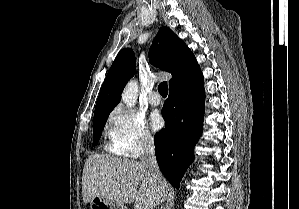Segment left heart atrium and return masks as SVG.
I'll return each mask as SVG.
<instances>
[{
    "label": "left heart atrium",
    "instance_id": "obj_1",
    "mask_svg": "<svg viewBox=\"0 0 299 209\" xmlns=\"http://www.w3.org/2000/svg\"><path fill=\"white\" fill-rule=\"evenodd\" d=\"M164 121L159 113H153L150 116V125L153 131H158L163 127Z\"/></svg>",
    "mask_w": 299,
    "mask_h": 209
}]
</instances>
